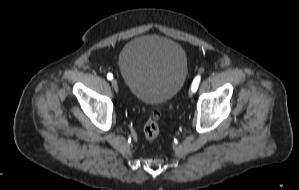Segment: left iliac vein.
Here are the masks:
<instances>
[{"instance_id": "4c4485c4", "label": "left iliac vein", "mask_w": 299, "mask_h": 190, "mask_svg": "<svg viewBox=\"0 0 299 190\" xmlns=\"http://www.w3.org/2000/svg\"><path fill=\"white\" fill-rule=\"evenodd\" d=\"M193 93H194V92H193L192 90L189 91V95H190V96H192Z\"/></svg>"}]
</instances>
